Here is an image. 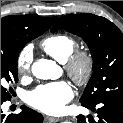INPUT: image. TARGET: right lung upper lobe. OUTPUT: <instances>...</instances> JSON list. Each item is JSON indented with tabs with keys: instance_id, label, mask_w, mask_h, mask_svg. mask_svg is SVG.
<instances>
[{
	"instance_id": "right-lung-upper-lobe-1",
	"label": "right lung upper lobe",
	"mask_w": 123,
	"mask_h": 123,
	"mask_svg": "<svg viewBox=\"0 0 123 123\" xmlns=\"http://www.w3.org/2000/svg\"><path fill=\"white\" fill-rule=\"evenodd\" d=\"M57 17H36L31 15H13L1 18V41H11L24 33L46 31Z\"/></svg>"
}]
</instances>
